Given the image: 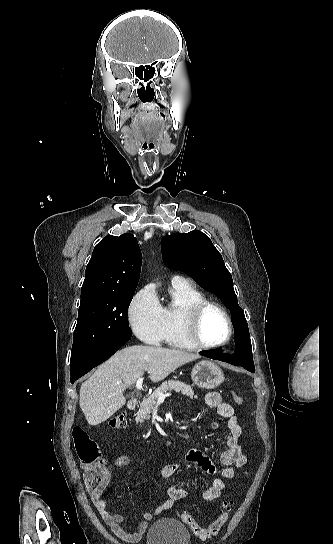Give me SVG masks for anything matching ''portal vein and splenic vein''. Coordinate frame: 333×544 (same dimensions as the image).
I'll use <instances>...</instances> for the list:
<instances>
[{"label":"portal vein and splenic vein","instance_id":"portal-vein-and-splenic-vein-1","mask_svg":"<svg viewBox=\"0 0 333 544\" xmlns=\"http://www.w3.org/2000/svg\"><path fill=\"white\" fill-rule=\"evenodd\" d=\"M142 383H143V378H142V377H139L138 380H137V382H136V388H137V390H141V389H142ZM169 396H171L170 393H165V394L162 393V394L159 395L158 401H159V402L164 401V399H165L166 397H169Z\"/></svg>","mask_w":333,"mask_h":544}]
</instances>
